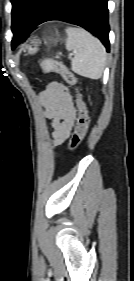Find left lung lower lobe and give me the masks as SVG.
Here are the masks:
<instances>
[{
	"label": "left lung lower lobe",
	"mask_w": 134,
	"mask_h": 281,
	"mask_svg": "<svg viewBox=\"0 0 134 281\" xmlns=\"http://www.w3.org/2000/svg\"><path fill=\"white\" fill-rule=\"evenodd\" d=\"M50 20L65 21L87 29L109 51L107 0H43L24 31L12 30V49L36 26Z\"/></svg>",
	"instance_id": "1"
}]
</instances>
